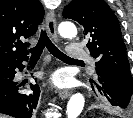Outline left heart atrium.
I'll return each mask as SVG.
<instances>
[{
	"label": "left heart atrium",
	"instance_id": "left-heart-atrium-1",
	"mask_svg": "<svg viewBox=\"0 0 133 118\" xmlns=\"http://www.w3.org/2000/svg\"><path fill=\"white\" fill-rule=\"evenodd\" d=\"M51 82L54 86L61 88L67 84V78L63 72H56L53 74Z\"/></svg>",
	"mask_w": 133,
	"mask_h": 118
}]
</instances>
